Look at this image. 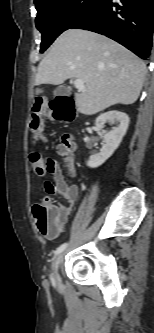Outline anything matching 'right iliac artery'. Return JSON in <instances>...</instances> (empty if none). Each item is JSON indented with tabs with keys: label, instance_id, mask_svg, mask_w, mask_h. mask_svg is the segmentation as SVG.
Masks as SVG:
<instances>
[{
	"label": "right iliac artery",
	"instance_id": "right-iliac-artery-1",
	"mask_svg": "<svg viewBox=\"0 0 154 333\" xmlns=\"http://www.w3.org/2000/svg\"><path fill=\"white\" fill-rule=\"evenodd\" d=\"M67 247V243H64L62 245H60L55 251H54V255H58L59 253H61L65 248Z\"/></svg>",
	"mask_w": 154,
	"mask_h": 333
}]
</instances>
